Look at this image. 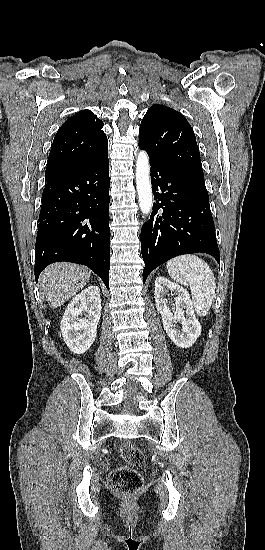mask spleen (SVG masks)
<instances>
[{
  "label": "spleen",
  "instance_id": "spleen-1",
  "mask_svg": "<svg viewBox=\"0 0 265 550\" xmlns=\"http://www.w3.org/2000/svg\"><path fill=\"white\" fill-rule=\"evenodd\" d=\"M176 282L190 286L193 306L199 316L208 314L215 297V277L208 264L196 255H182L166 264Z\"/></svg>",
  "mask_w": 265,
  "mask_h": 550
}]
</instances>
